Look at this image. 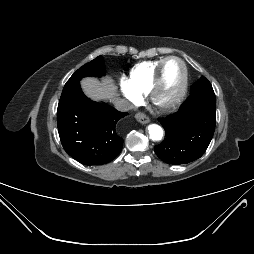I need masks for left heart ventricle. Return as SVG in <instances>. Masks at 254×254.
Returning <instances> with one entry per match:
<instances>
[{"instance_id": "1", "label": "left heart ventricle", "mask_w": 254, "mask_h": 254, "mask_svg": "<svg viewBox=\"0 0 254 254\" xmlns=\"http://www.w3.org/2000/svg\"><path fill=\"white\" fill-rule=\"evenodd\" d=\"M182 80V66L178 61H169L163 70L162 84L158 93V100L160 102H167L171 100L180 87Z\"/></svg>"}]
</instances>
